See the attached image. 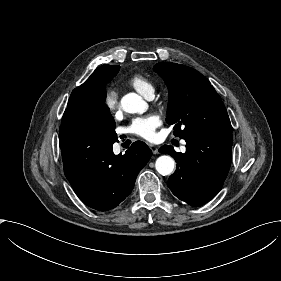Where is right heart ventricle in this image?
<instances>
[{"label":"right heart ventricle","instance_id":"1","mask_svg":"<svg viewBox=\"0 0 281 281\" xmlns=\"http://www.w3.org/2000/svg\"><path fill=\"white\" fill-rule=\"evenodd\" d=\"M125 86L134 89L141 96L147 98L148 94L154 93L152 84L141 75H133L124 82Z\"/></svg>","mask_w":281,"mask_h":281}]
</instances>
